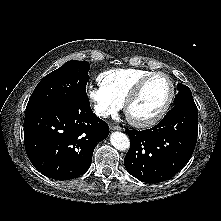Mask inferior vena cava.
Segmentation results:
<instances>
[{
	"label": "inferior vena cava",
	"instance_id": "obj_1",
	"mask_svg": "<svg viewBox=\"0 0 221 221\" xmlns=\"http://www.w3.org/2000/svg\"><path fill=\"white\" fill-rule=\"evenodd\" d=\"M95 113L98 116H102L106 118L108 116V112L101 106H95Z\"/></svg>",
	"mask_w": 221,
	"mask_h": 221
}]
</instances>
